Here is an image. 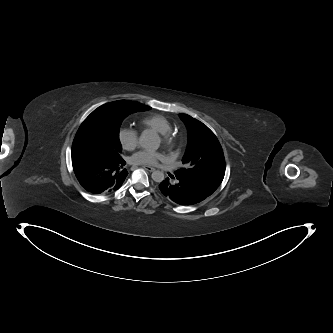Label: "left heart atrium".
<instances>
[{"instance_id": "1", "label": "left heart atrium", "mask_w": 333, "mask_h": 333, "mask_svg": "<svg viewBox=\"0 0 333 333\" xmlns=\"http://www.w3.org/2000/svg\"><path fill=\"white\" fill-rule=\"evenodd\" d=\"M162 158V153L157 150L142 149L131 157V162L135 164H155Z\"/></svg>"}]
</instances>
